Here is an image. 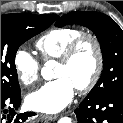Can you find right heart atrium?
Returning <instances> with one entry per match:
<instances>
[{
	"mask_svg": "<svg viewBox=\"0 0 123 123\" xmlns=\"http://www.w3.org/2000/svg\"><path fill=\"white\" fill-rule=\"evenodd\" d=\"M13 65L22 84L31 86L38 80L40 63L27 49L21 47L15 51Z\"/></svg>",
	"mask_w": 123,
	"mask_h": 123,
	"instance_id": "obj_1",
	"label": "right heart atrium"
}]
</instances>
